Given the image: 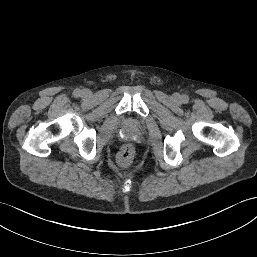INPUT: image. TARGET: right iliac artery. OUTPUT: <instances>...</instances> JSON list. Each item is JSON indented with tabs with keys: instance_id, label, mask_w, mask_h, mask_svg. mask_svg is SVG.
<instances>
[{
	"instance_id": "1",
	"label": "right iliac artery",
	"mask_w": 257,
	"mask_h": 257,
	"mask_svg": "<svg viewBox=\"0 0 257 257\" xmlns=\"http://www.w3.org/2000/svg\"><path fill=\"white\" fill-rule=\"evenodd\" d=\"M74 97H79L81 95L80 89H75L73 92Z\"/></svg>"
}]
</instances>
